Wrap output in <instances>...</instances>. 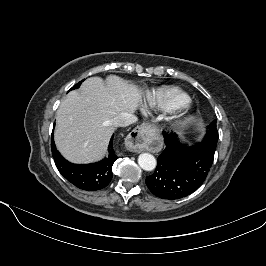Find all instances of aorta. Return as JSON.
I'll list each match as a JSON object with an SVG mask.
<instances>
[{
  "label": "aorta",
  "mask_w": 266,
  "mask_h": 266,
  "mask_svg": "<svg viewBox=\"0 0 266 266\" xmlns=\"http://www.w3.org/2000/svg\"><path fill=\"white\" fill-rule=\"evenodd\" d=\"M139 166L145 171H152L156 167V159L149 153H142L138 157Z\"/></svg>",
  "instance_id": "aorta-1"
}]
</instances>
